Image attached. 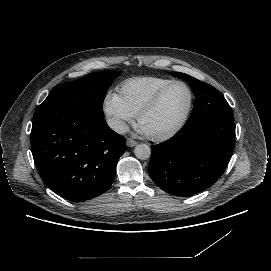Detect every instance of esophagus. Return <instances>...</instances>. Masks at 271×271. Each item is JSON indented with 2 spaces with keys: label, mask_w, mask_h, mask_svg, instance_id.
<instances>
[{
  "label": "esophagus",
  "mask_w": 271,
  "mask_h": 271,
  "mask_svg": "<svg viewBox=\"0 0 271 271\" xmlns=\"http://www.w3.org/2000/svg\"><path fill=\"white\" fill-rule=\"evenodd\" d=\"M126 144L128 147H134L137 144V141L128 138Z\"/></svg>",
  "instance_id": "34e87169"
}]
</instances>
